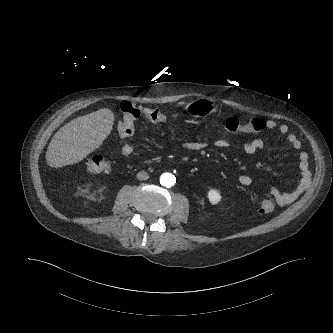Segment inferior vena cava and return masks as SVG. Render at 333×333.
Wrapping results in <instances>:
<instances>
[{
    "label": "inferior vena cava",
    "instance_id": "inferior-vena-cava-1",
    "mask_svg": "<svg viewBox=\"0 0 333 333\" xmlns=\"http://www.w3.org/2000/svg\"><path fill=\"white\" fill-rule=\"evenodd\" d=\"M148 178H149V175L145 171H140V172L137 173V179L138 180L144 181V180H147Z\"/></svg>",
    "mask_w": 333,
    "mask_h": 333
}]
</instances>
